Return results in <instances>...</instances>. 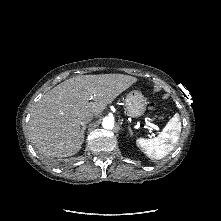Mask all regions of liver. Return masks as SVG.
Returning <instances> with one entry per match:
<instances>
[{
  "label": "liver",
  "instance_id": "liver-1",
  "mask_svg": "<svg viewBox=\"0 0 221 221\" xmlns=\"http://www.w3.org/2000/svg\"><path fill=\"white\" fill-rule=\"evenodd\" d=\"M136 81L137 78L123 74L82 75L55 86L31 112L30 135L37 150L53 157H69L79 152L81 118L101 114Z\"/></svg>",
  "mask_w": 221,
  "mask_h": 221
}]
</instances>
